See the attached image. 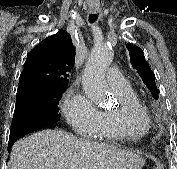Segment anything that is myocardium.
<instances>
[{"label":"myocardium","mask_w":177,"mask_h":169,"mask_svg":"<svg viewBox=\"0 0 177 169\" xmlns=\"http://www.w3.org/2000/svg\"><path fill=\"white\" fill-rule=\"evenodd\" d=\"M131 117L138 118L143 124L150 127L151 125V118L148 115L147 111L144 109L142 111H135L133 110L130 112Z\"/></svg>","instance_id":"obj_1"}]
</instances>
